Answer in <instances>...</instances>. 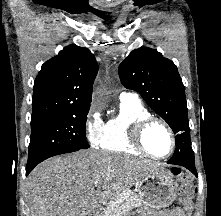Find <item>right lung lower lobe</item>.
Returning <instances> with one entry per match:
<instances>
[{
  "label": "right lung lower lobe",
  "mask_w": 221,
  "mask_h": 216,
  "mask_svg": "<svg viewBox=\"0 0 221 216\" xmlns=\"http://www.w3.org/2000/svg\"><path fill=\"white\" fill-rule=\"evenodd\" d=\"M36 165L37 164H32V165H29V166L27 165V167H26V175H28Z\"/></svg>",
  "instance_id": "98d812e1"
}]
</instances>
